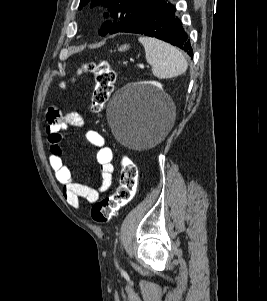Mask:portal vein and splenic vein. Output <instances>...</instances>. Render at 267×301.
Masks as SVG:
<instances>
[{"label":"portal vein and splenic vein","instance_id":"obj_1","mask_svg":"<svg viewBox=\"0 0 267 301\" xmlns=\"http://www.w3.org/2000/svg\"><path fill=\"white\" fill-rule=\"evenodd\" d=\"M138 66H139V68H141V69L144 68V65H143V64H139Z\"/></svg>","mask_w":267,"mask_h":301}]
</instances>
